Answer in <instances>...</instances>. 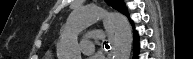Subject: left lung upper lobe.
<instances>
[{
  "label": "left lung upper lobe",
  "instance_id": "5c2ea615",
  "mask_svg": "<svg viewBox=\"0 0 193 59\" xmlns=\"http://www.w3.org/2000/svg\"><path fill=\"white\" fill-rule=\"evenodd\" d=\"M106 2L119 12L127 14V9L124 5L123 0H106Z\"/></svg>",
  "mask_w": 193,
  "mask_h": 59
}]
</instances>
